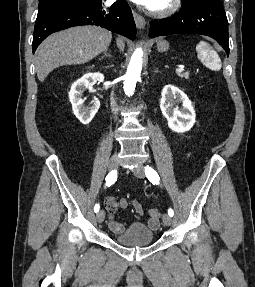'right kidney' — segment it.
Masks as SVG:
<instances>
[{
  "label": "right kidney",
  "mask_w": 255,
  "mask_h": 287,
  "mask_svg": "<svg viewBox=\"0 0 255 287\" xmlns=\"http://www.w3.org/2000/svg\"><path fill=\"white\" fill-rule=\"evenodd\" d=\"M97 82H104V76L99 74V72H96V74H84L80 80H76L71 86L69 100L72 104L73 114L81 124H89L100 108L99 100H94L91 108H85L83 104V92L90 90Z\"/></svg>",
  "instance_id": "1"
}]
</instances>
